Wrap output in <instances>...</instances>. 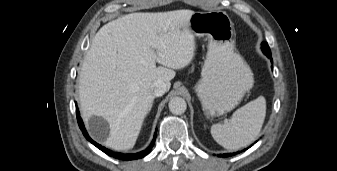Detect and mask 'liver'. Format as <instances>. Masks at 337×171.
Returning <instances> with one entry per match:
<instances>
[{
	"label": "liver",
	"mask_w": 337,
	"mask_h": 171,
	"mask_svg": "<svg viewBox=\"0 0 337 171\" xmlns=\"http://www.w3.org/2000/svg\"><path fill=\"white\" fill-rule=\"evenodd\" d=\"M194 13L127 14L96 33L79 73V100L86 123L93 115L108 122L106 147L133 148L154 100L151 85L161 80L168 90L174 70L192 61L189 20Z\"/></svg>",
	"instance_id": "obj_1"
}]
</instances>
